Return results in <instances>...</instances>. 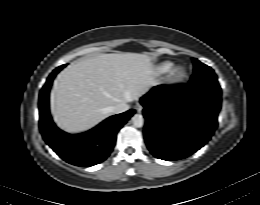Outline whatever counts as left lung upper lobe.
Listing matches in <instances>:
<instances>
[{
    "instance_id": "1",
    "label": "left lung upper lobe",
    "mask_w": 260,
    "mask_h": 205,
    "mask_svg": "<svg viewBox=\"0 0 260 205\" xmlns=\"http://www.w3.org/2000/svg\"><path fill=\"white\" fill-rule=\"evenodd\" d=\"M193 62L194 73L189 83L193 85H200L220 89V86L217 81V76L215 75L214 71L207 65L198 61L197 59H193Z\"/></svg>"
}]
</instances>
